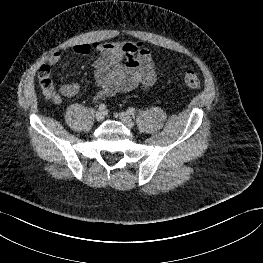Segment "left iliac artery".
Instances as JSON below:
<instances>
[{
    "mask_svg": "<svg viewBox=\"0 0 263 263\" xmlns=\"http://www.w3.org/2000/svg\"><path fill=\"white\" fill-rule=\"evenodd\" d=\"M128 113L134 115V114L136 113L135 108H133V107L129 108V109H128Z\"/></svg>",
    "mask_w": 263,
    "mask_h": 263,
    "instance_id": "left-iliac-artery-1",
    "label": "left iliac artery"
}]
</instances>
